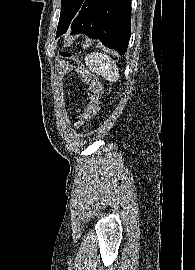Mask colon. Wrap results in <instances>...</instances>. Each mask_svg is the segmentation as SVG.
Wrapping results in <instances>:
<instances>
[{
  "label": "colon",
  "instance_id": "colon-1",
  "mask_svg": "<svg viewBox=\"0 0 195 270\" xmlns=\"http://www.w3.org/2000/svg\"><path fill=\"white\" fill-rule=\"evenodd\" d=\"M59 54L63 59L72 58L70 53L64 50H61ZM77 72L79 76L83 79V81L88 85L91 92V97L86 110L75 122V127L79 128L92 121L98 114L100 108L99 97L102 92V83L92 71H90L86 66L81 63H78Z\"/></svg>",
  "mask_w": 195,
  "mask_h": 270
}]
</instances>
